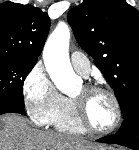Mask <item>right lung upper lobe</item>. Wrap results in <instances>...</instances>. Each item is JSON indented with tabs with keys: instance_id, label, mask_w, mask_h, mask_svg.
I'll list each match as a JSON object with an SVG mask.
<instances>
[{
	"instance_id": "right-lung-upper-lobe-1",
	"label": "right lung upper lobe",
	"mask_w": 139,
	"mask_h": 150,
	"mask_svg": "<svg viewBox=\"0 0 139 150\" xmlns=\"http://www.w3.org/2000/svg\"><path fill=\"white\" fill-rule=\"evenodd\" d=\"M50 28L46 12L31 5H0V54L37 62Z\"/></svg>"
}]
</instances>
